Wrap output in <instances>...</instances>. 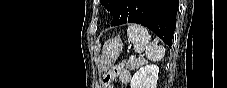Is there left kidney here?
Segmentation results:
<instances>
[{"instance_id": "left-kidney-1", "label": "left kidney", "mask_w": 227, "mask_h": 88, "mask_svg": "<svg viewBox=\"0 0 227 88\" xmlns=\"http://www.w3.org/2000/svg\"><path fill=\"white\" fill-rule=\"evenodd\" d=\"M159 67L157 65H145L141 67L131 79V88H156Z\"/></svg>"}]
</instances>
